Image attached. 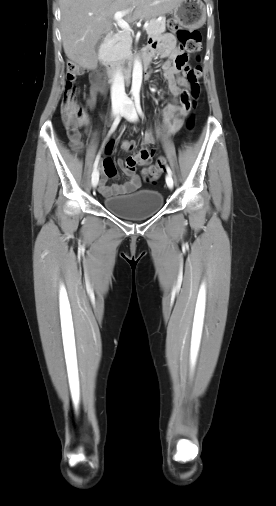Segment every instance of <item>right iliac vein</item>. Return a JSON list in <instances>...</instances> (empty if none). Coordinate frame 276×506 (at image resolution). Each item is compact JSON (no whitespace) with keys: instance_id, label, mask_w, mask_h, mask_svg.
I'll use <instances>...</instances> for the list:
<instances>
[{"instance_id":"right-iliac-vein-1","label":"right iliac vein","mask_w":276,"mask_h":506,"mask_svg":"<svg viewBox=\"0 0 276 506\" xmlns=\"http://www.w3.org/2000/svg\"><path fill=\"white\" fill-rule=\"evenodd\" d=\"M122 109V104H117L113 107V115H117ZM98 171H96V175L92 176V186L96 187L98 184V177H97Z\"/></svg>"}]
</instances>
